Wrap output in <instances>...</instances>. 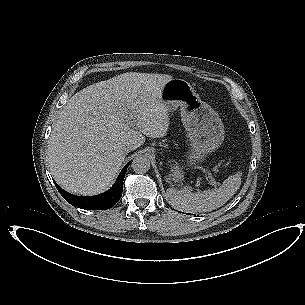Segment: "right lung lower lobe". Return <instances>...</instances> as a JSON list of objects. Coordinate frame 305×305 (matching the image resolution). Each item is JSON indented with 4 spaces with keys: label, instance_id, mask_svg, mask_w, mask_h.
Instances as JSON below:
<instances>
[{
    "label": "right lung lower lobe",
    "instance_id": "right-lung-lower-lobe-1",
    "mask_svg": "<svg viewBox=\"0 0 305 305\" xmlns=\"http://www.w3.org/2000/svg\"><path fill=\"white\" fill-rule=\"evenodd\" d=\"M130 162L123 168L121 173L119 174L115 184L113 187L108 190L107 192L98 195V196H91V197H81L69 194L68 192L64 191L60 186L56 183V187L59 193L63 196V198L69 202L71 205L85 209V210H105L111 208L115 203L119 201L122 196L123 191V180L126 174L127 167L129 166Z\"/></svg>",
    "mask_w": 305,
    "mask_h": 305
}]
</instances>
